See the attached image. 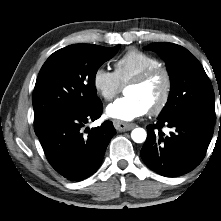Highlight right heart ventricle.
I'll list each match as a JSON object with an SVG mask.
<instances>
[{"mask_svg": "<svg viewBox=\"0 0 221 221\" xmlns=\"http://www.w3.org/2000/svg\"><path fill=\"white\" fill-rule=\"evenodd\" d=\"M161 66L160 60L139 49H129L114 62V73L122 86L143 71Z\"/></svg>", "mask_w": 221, "mask_h": 221, "instance_id": "right-heart-ventricle-1", "label": "right heart ventricle"}]
</instances>
